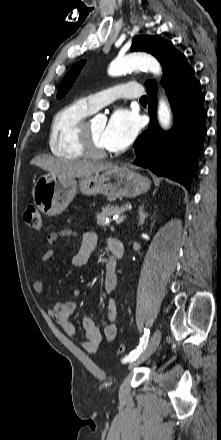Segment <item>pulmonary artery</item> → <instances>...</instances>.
Returning a JSON list of instances; mask_svg holds the SVG:
<instances>
[{
    "label": "pulmonary artery",
    "instance_id": "1",
    "mask_svg": "<svg viewBox=\"0 0 221 440\" xmlns=\"http://www.w3.org/2000/svg\"><path fill=\"white\" fill-rule=\"evenodd\" d=\"M142 87L137 82L122 83L106 90L88 95L85 100L93 111H97L102 106L111 103L118 98H137L142 97Z\"/></svg>",
    "mask_w": 221,
    "mask_h": 440
}]
</instances>
